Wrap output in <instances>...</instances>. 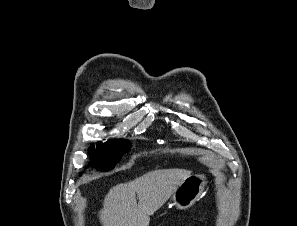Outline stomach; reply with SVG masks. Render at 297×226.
Masks as SVG:
<instances>
[{"label":"stomach","mask_w":297,"mask_h":226,"mask_svg":"<svg viewBox=\"0 0 297 226\" xmlns=\"http://www.w3.org/2000/svg\"><path fill=\"white\" fill-rule=\"evenodd\" d=\"M205 184L204 174L190 175L174 191L172 206L177 209L190 208L202 195Z\"/></svg>","instance_id":"obj_1"}]
</instances>
